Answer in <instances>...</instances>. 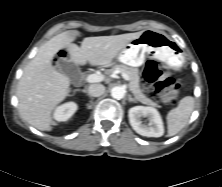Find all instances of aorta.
<instances>
[{"label":"aorta","instance_id":"aorta-1","mask_svg":"<svg viewBox=\"0 0 222 187\" xmlns=\"http://www.w3.org/2000/svg\"><path fill=\"white\" fill-rule=\"evenodd\" d=\"M111 96L114 99L120 100L125 96V90L121 86H115L111 89Z\"/></svg>","mask_w":222,"mask_h":187}]
</instances>
